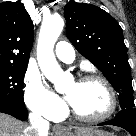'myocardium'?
I'll return each mask as SVG.
<instances>
[{
  "label": "myocardium",
  "mask_w": 136,
  "mask_h": 136,
  "mask_svg": "<svg viewBox=\"0 0 136 136\" xmlns=\"http://www.w3.org/2000/svg\"><path fill=\"white\" fill-rule=\"evenodd\" d=\"M88 81L100 82L106 88L108 95H109V100H110L109 107H108L107 111L104 112L103 114L99 115V116L87 117V116H84V115H81L80 113H78L75 110V108L72 106L71 103L69 105V111L73 115L74 118H76L77 120L82 121V122L99 123V122L105 121L106 119L111 117L116 110V107H117L116 92H115L112 84L105 77H103L101 75L87 74V75L81 76L78 79V82H88Z\"/></svg>",
  "instance_id": "f54148a6"
}]
</instances>
